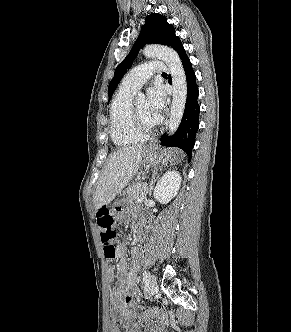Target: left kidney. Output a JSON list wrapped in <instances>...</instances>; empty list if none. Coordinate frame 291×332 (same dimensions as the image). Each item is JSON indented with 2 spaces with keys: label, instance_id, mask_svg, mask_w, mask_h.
<instances>
[{
  "label": "left kidney",
  "instance_id": "1",
  "mask_svg": "<svg viewBox=\"0 0 291 332\" xmlns=\"http://www.w3.org/2000/svg\"><path fill=\"white\" fill-rule=\"evenodd\" d=\"M181 180L182 178L177 171L166 172L156 184L154 198L160 203H168L177 195Z\"/></svg>",
  "mask_w": 291,
  "mask_h": 332
}]
</instances>
